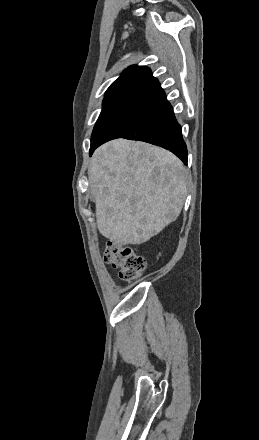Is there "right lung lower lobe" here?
<instances>
[{"label":"right lung lower lobe","mask_w":259,"mask_h":440,"mask_svg":"<svg viewBox=\"0 0 259 440\" xmlns=\"http://www.w3.org/2000/svg\"><path fill=\"white\" fill-rule=\"evenodd\" d=\"M115 138L139 140L163 147L187 165V147L181 126L159 83L106 136L91 142L90 155L99 145Z\"/></svg>","instance_id":"1"}]
</instances>
